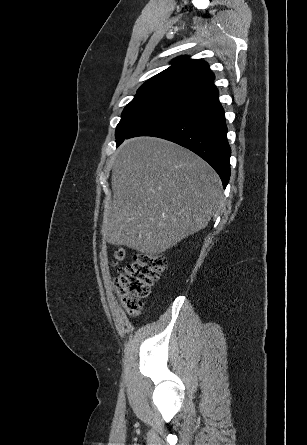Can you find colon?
I'll use <instances>...</instances> for the list:
<instances>
[{
    "mask_svg": "<svg viewBox=\"0 0 307 445\" xmlns=\"http://www.w3.org/2000/svg\"><path fill=\"white\" fill-rule=\"evenodd\" d=\"M125 257L126 251L124 248L115 250L114 259L116 262L123 261ZM165 267L166 259L164 256L142 253L136 255L130 264L119 269L115 286L130 315L136 316L141 312V299L149 295L151 287L158 281Z\"/></svg>",
    "mask_w": 307,
    "mask_h": 445,
    "instance_id": "5ec220e1",
    "label": "colon"
}]
</instances>
